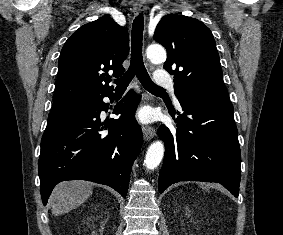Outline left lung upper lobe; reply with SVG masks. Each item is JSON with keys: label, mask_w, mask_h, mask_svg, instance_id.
<instances>
[{"label": "left lung upper lobe", "mask_w": 283, "mask_h": 235, "mask_svg": "<svg viewBox=\"0 0 283 235\" xmlns=\"http://www.w3.org/2000/svg\"><path fill=\"white\" fill-rule=\"evenodd\" d=\"M153 38L167 50L164 68L174 75L177 98L231 103L213 34L201 21L168 14L158 23Z\"/></svg>", "instance_id": "left-lung-upper-lobe-1"}]
</instances>
